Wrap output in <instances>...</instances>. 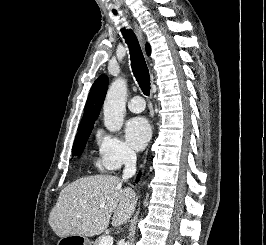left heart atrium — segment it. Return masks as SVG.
Segmentation results:
<instances>
[{
  "mask_svg": "<svg viewBox=\"0 0 266 245\" xmlns=\"http://www.w3.org/2000/svg\"><path fill=\"white\" fill-rule=\"evenodd\" d=\"M150 135L149 123L142 117L131 119L125 126L126 140L133 149H142L147 144Z\"/></svg>",
  "mask_w": 266,
  "mask_h": 245,
  "instance_id": "39dd6f15",
  "label": "left heart atrium"
}]
</instances>
